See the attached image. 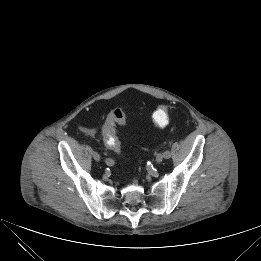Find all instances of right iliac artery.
<instances>
[{
    "label": "right iliac artery",
    "mask_w": 261,
    "mask_h": 261,
    "mask_svg": "<svg viewBox=\"0 0 261 261\" xmlns=\"http://www.w3.org/2000/svg\"><path fill=\"white\" fill-rule=\"evenodd\" d=\"M104 162L109 166H112L114 164V160L107 157L104 158Z\"/></svg>",
    "instance_id": "right-iliac-artery-1"
}]
</instances>
